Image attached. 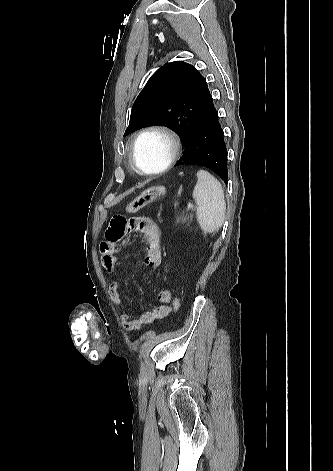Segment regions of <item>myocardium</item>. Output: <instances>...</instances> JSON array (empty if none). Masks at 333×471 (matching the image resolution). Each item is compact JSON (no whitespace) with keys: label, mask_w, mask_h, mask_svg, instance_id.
Returning a JSON list of instances; mask_svg holds the SVG:
<instances>
[{"label":"myocardium","mask_w":333,"mask_h":471,"mask_svg":"<svg viewBox=\"0 0 333 471\" xmlns=\"http://www.w3.org/2000/svg\"><path fill=\"white\" fill-rule=\"evenodd\" d=\"M151 133L161 134L168 140L169 145H170V153L166 162L164 163L162 167L156 170L148 171V170L143 169L137 163L136 158H135V150H136V146L139 140L145 135L151 134ZM180 146L181 144H180L179 137L169 127L160 125V124L149 125L141 129L132 139L130 149H129V160L133 168L140 174L147 175V176L158 175L165 172L167 169H169L171 165L175 162L180 151Z\"/></svg>","instance_id":"obj_1"}]
</instances>
